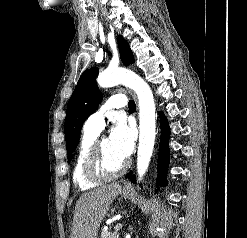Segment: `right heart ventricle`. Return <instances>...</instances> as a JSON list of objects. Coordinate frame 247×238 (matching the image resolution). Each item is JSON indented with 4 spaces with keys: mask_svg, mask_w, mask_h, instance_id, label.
Returning <instances> with one entry per match:
<instances>
[{
    "mask_svg": "<svg viewBox=\"0 0 247 238\" xmlns=\"http://www.w3.org/2000/svg\"><path fill=\"white\" fill-rule=\"evenodd\" d=\"M98 135V132L84 128L72 172L73 182L80 190L92 189L100 183V181L89 180L84 174L85 160Z\"/></svg>",
    "mask_w": 247,
    "mask_h": 238,
    "instance_id": "obj_1",
    "label": "right heart ventricle"
}]
</instances>
